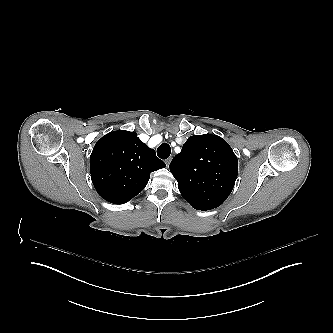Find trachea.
Returning a JSON list of instances; mask_svg holds the SVG:
<instances>
[{"mask_svg": "<svg viewBox=\"0 0 333 333\" xmlns=\"http://www.w3.org/2000/svg\"><path fill=\"white\" fill-rule=\"evenodd\" d=\"M171 148L167 143H162L157 149V155L161 159H167L170 156Z\"/></svg>", "mask_w": 333, "mask_h": 333, "instance_id": "3493384b", "label": "trachea"}]
</instances>
